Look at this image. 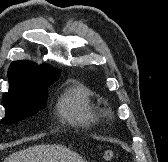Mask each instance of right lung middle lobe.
I'll return each instance as SVG.
<instances>
[{
  "instance_id": "1",
  "label": "right lung middle lobe",
  "mask_w": 168,
  "mask_h": 162,
  "mask_svg": "<svg viewBox=\"0 0 168 162\" xmlns=\"http://www.w3.org/2000/svg\"><path fill=\"white\" fill-rule=\"evenodd\" d=\"M53 82L41 84H26L14 91L5 93L3 103L6 117L3 123H13L30 117L43 109L46 105L47 87Z\"/></svg>"
}]
</instances>
